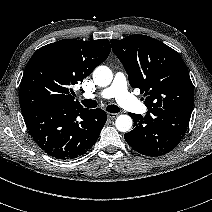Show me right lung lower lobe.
Segmentation results:
<instances>
[{
  "instance_id": "1",
  "label": "right lung lower lobe",
  "mask_w": 212,
  "mask_h": 212,
  "mask_svg": "<svg viewBox=\"0 0 212 212\" xmlns=\"http://www.w3.org/2000/svg\"><path fill=\"white\" fill-rule=\"evenodd\" d=\"M106 120L105 111L86 108L50 107L24 116L38 146L60 160L74 159L92 148Z\"/></svg>"
}]
</instances>
